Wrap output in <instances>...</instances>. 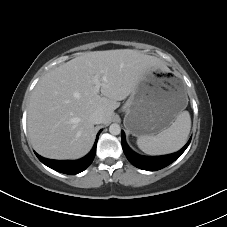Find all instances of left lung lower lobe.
Masks as SVG:
<instances>
[{
    "label": "left lung lower lobe",
    "instance_id": "obj_1",
    "mask_svg": "<svg viewBox=\"0 0 227 227\" xmlns=\"http://www.w3.org/2000/svg\"><path fill=\"white\" fill-rule=\"evenodd\" d=\"M121 138H122L121 143H122L123 151L127 159L130 161V163L136 166L137 168L147 170V171L160 170L168 166L172 162H174L186 150V148L188 147L191 141L190 139L188 143L180 151L176 153L165 155V156L146 157L135 153L129 148V146L125 141L124 132H122Z\"/></svg>",
    "mask_w": 227,
    "mask_h": 227
}]
</instances>
